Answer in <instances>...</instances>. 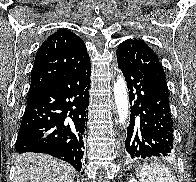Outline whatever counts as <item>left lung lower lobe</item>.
<instances>
[{"instance_id":"obj_1","label":"left lung lower lobe","mask_w":196,"mask_h":182,"mask_svg":"<svg viewBox=\"0 0 196 182\" xmlns=\"http://www.w3.org/2000/svg\"><path fill=\"white\" fill-rule=\"evenodd\" d=\"M129 90L130 121L125 141L129 158L170 157L174 154L169 93L154 79L117 58Z\"/></svg>"}]
</instances>
